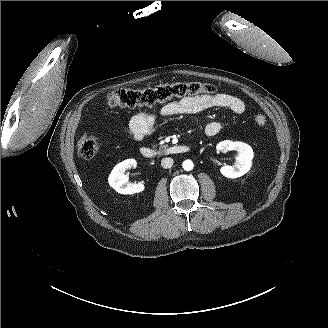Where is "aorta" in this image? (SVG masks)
<instances>
[{
  "label": "aorta",
  "mask_w": 328,
  "mask_h": 328,
  "mask_svg": "<svg viewBox=\"0 0 328 328\" xmlns=\"http://www.w3.org/2000/svg\"><path fill=\"white\" fill-rule=\"evenodd\" d=\"M185 171H191L193 169V162L191 160H185L182 164Z\"/></svg>",
  "instance_id": "obj_1"
}]
</instances>
